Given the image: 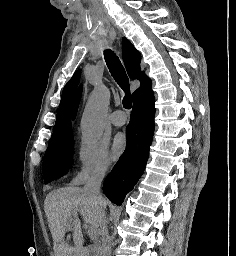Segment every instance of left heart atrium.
<instances>
[{"label": "left heart atrium", "instance_id": "1", "mask_svg": "<svg viewBox=\"0 0 236 256\" xmlns=\"http://www.w3.org/2000/svg\"><path fill=\"white\" fill-rule=\"evenodd\" d=\"M126 145L125 137L121 134L117 135L114 139L112 146V154L114 157H118L123 152Z\"/></svg>", "mask_w": 236, "mask_h": 256}]
</instances>
